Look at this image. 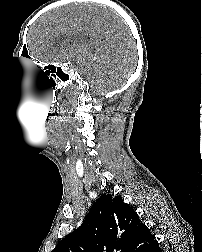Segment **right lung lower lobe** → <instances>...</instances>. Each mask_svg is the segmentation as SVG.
<instances>
[{"label": "right lung lower lobe", "instance_id": "98d812e1", "mask_svg": "<svg viewBox=\"0 0 202 252\" xmlns=\"http://www.w3.org/2000/svg\"><path fill=\"white\" fill-rule=\"evenodd\" d=\"M151 252H161V249L159 248V244L155 245Z\"/></svg>", "mask_w": 202, "mask_h": 252}]
</instances>
